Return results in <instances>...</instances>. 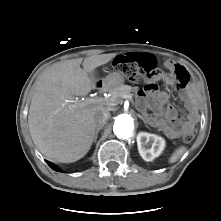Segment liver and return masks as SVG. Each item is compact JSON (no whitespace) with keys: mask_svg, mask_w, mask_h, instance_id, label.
Masks as SVG:
<instances>
[{"mask_svg":"<svg viewBox=\"0 0 221 221\" xmlns=\"http://www.w3.org/2000/svg\"><path fill=\"white\" fill-rule=\"evenodd\" d=\"M115 53L57 62L46 69L35 85L28 114L32 140L46 157L62 163L84 157L94 141L95 115L109 110L101 103L75 101L97 88V67L115 58Z\"/></svg>","mask_w":221,"mask_h":221,"instance_id":"6515ba94","label":"liver"}]
</instances>
